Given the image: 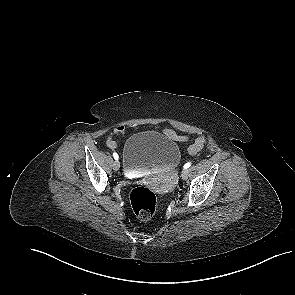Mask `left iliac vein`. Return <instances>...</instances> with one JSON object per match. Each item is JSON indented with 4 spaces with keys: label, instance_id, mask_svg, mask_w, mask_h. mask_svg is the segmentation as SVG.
Instances as JSON below:
<instances>
[{
    "label": "left iliac vein",
    "instance_id": "left-iliac-vein-1",
    "mask_svg": "<svg viewBox=\"0 0 295 295\" xmlns=\"http://www.w3.org/2000/svg\"><path fill=\"white\" fill-rule=\"evenodd\" d=\"M189 175V171L188 169H183L182 173H181V177L182 179H187Z\"/></svg>",
    "mask_w": 295,
    "mask_h": 295
}]
</instances>
